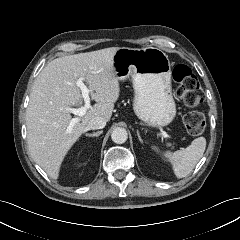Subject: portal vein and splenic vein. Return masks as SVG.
Masks as SVG:
<instances>
[{
  "mask_svg": "<svg viewBox=\"0 0 240 240\" xmlns=\"http://www.w3.org/2000/svg\"><path fill=\"white\" fill-rule=\"evenodd\" d=\"M76 86H78L82 92V97L84 99L85 105L80 108H71V107L66 108L67 111L78 116L76 118L71 119L68 130H71L72 127L75 125V123L79 121V117H82L83 115H85L86 111L91 107L89 94L92 92V90L89 89L83 83V80L81 78L77 80ZM161 134L166 139L169 137V135L164 130H161Z\"/></svg>",
  "mask_w": 240,
  "mask_h": 240,
  "instance_id": "portal-vein-and-splenic-vein-1",
  "label": "portal vein and splenic vein"
}]
</instances>
